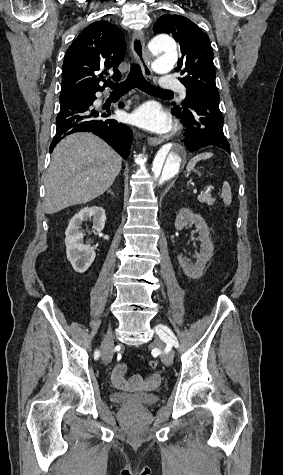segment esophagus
I'll use <instances>...</instances> for the list:
<instances>
[{"mask_svg": "<svg viewBox=\"0 0 283 475\" xmlns=\"http://www.w3.org/2000/svg\"><path fill=\"white\" fill-rule=\"evenodd\" d=\"M131 50L135 59L141 66L144 75L148 78H151L153 73L146 57L145 37L142 30H137L134 32L132 41H131ZM162 141L163 140L161 138H155V137L148 138L149 145H160Z\"/></svg>", "mask_w": 283, "mask_h": 475, "instance_id": "1", "label": "esophagus"}]
</instances>
